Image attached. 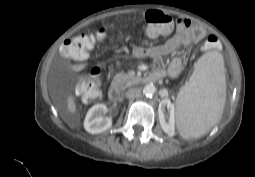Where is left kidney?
<instances>
[{"label": "left kidney", "instance_id": "5707ae66", "mask_svg": "<svg viewBox=\"0 0 255 177\" xmlns=\"http://www.w3.org/2000/svg\"><path fill=\"white\" fill-rule=\"evenodd\" d=\"M163 106H166L168 109V114L164 113ZM159 119L160 124L163 128V131L168 135H174L175 130V107L168 100L161 102L159 106Z\"/></svg>", "mask_w": 255, "mask_h": 177}]
</instances>
